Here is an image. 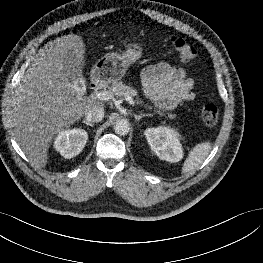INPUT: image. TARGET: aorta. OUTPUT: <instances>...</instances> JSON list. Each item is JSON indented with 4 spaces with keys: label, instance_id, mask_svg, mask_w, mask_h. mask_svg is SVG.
Returning a JSON list of instances; mask_svg holds the SVG:
<instances>
[{
    "label": "aorta",
    "instance_id": "762f6f07",
    "mask_svg": "<svg viewBox=\"0 0 263 263\" xmlns=\"http://www.w3.org/2000/svg\"><path fill=\"white\" fill-rule=\"evenodd\" d=\"M130 130V126L127 120H117L114 124V131L118 135H126Z\"/></svg>",
    "mask_w": 263,
    "mask_h": 263
}]
</instances>
